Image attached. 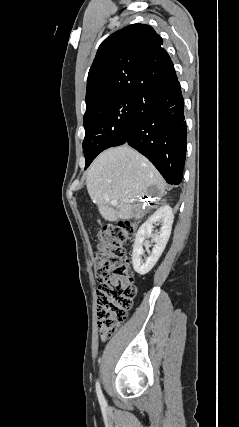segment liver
I'll use <instances>...</instances> for the list:
<instances>
[{"label": "liver", "instance_id": "liver-1", "mask_svg": "<svg viewBox=\"0 0 239 427\" xmlns=\"http://www.w3.org/2000/svg\"><path fill=\"white\" fill-rule=\"evenodd\" d=\"M156 187L159 195L165 191V181L158 170L140 153L128 145L102 152L87 173V190L108 221L131 219L140 208L136 198L149 194ZM117 200V204H111ZM133 200V201H131Z\"/></svg>", "mask_w": 239, "mask_h": 427}]
</instances>
